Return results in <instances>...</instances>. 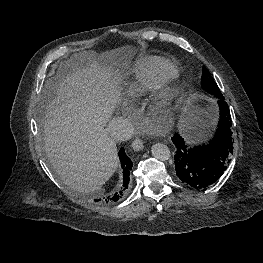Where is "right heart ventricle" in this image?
Segmentation results:
<instances>
[{
    "label": "right heart ventricle",
    "instance_id": "1",
    "mask_svg": "<svg viewBox=\"0 0 263 263\" xmlns=\"http://www.w3.org/2000/svg\"><path fill=\"white\" fill-rule=\"evenodd\" d=\"M175 74V69L165 63L142 65L135 71L134 93L142 94L160 81L174 77Z\"/></svg>",
    "mask_w": 263,
    "mask_h": 263
}]
</instances>
